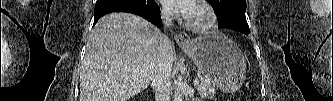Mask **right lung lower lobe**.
<instances>
[{
    "label": "right lung lower lobe",
    "mask_w": 333,
    "mask_h": 101,
    "mask_svg": "<svg viewBox=\"0 0 333 101\" xmlns=\"http://www.w3.org/2000/svg\"><path fill=\"white\" fill-rule=\"evenodd\" d=\"M112 12H128L139 15L155 25L161 24L160 9L154 0H97L94 24L102 16Z\"/></svg>",
    "instance_id": "98d812e1"
}]
</instances>
